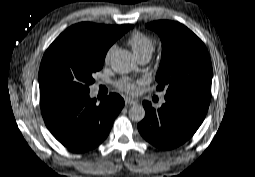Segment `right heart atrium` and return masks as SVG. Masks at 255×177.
Wrapping results in <instances>:
<instances>
[{"mask_svg": "<svg viewBox=\"0 0 255 177\" xmlns=\"http://www.w3.org/2000/svg\"><path fill=\"white\" fill-rule=\"evenodd\" d=\"M115 50V46L112 45L111 47H109L105 53V56H104V61L105 63H107L112 55V53L114 52Z\"/></svg>", "mask_w": 255, "mask_h": 177, "instance_id": "right-heart-atrium-1", "label": "right heart atrium"}]
</instances>
